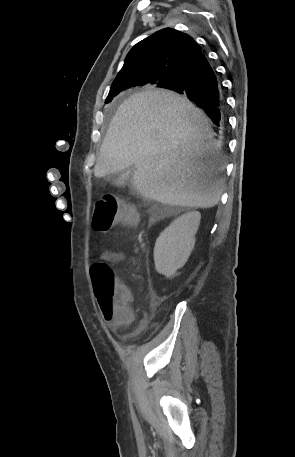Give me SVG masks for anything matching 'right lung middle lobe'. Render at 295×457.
<instances>
[{
  "label": "right lung middle lobe",
  "mask_w": 295,
  "mask_h": 457,
  "mask_svg": "<svg viewBox=\"0 0 295 457\" xmlns=\"http://www.w3.org/2000/svg\"><path fill=\"white\" fill-rule=\"evenodd\" d=\"M136 85H144V84H132V85H118L116 87H112L110 89V92L108 94V97L106 98V103H109L112 101L113 97H115L116 95H118L123 88H129V87H133V86H136ZM158 87V86H157Z\"/></svg>",
  "instance_id": "1"
}]
</instances>
